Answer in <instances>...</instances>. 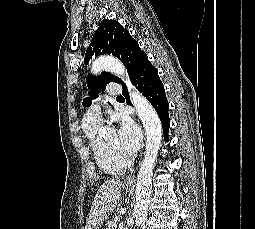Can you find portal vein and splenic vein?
Here are the masks:
<instances>
[{
  "label": "portal vein and splenic vein",
  "mask_w": 255,
  "mask_h": 229,
  "mask_svg": "<svg viewBox=\"0 0 255 229\" xmlns=\"http://www.w3.org/2000/svg\"><path fill=\"white\" fill-rule=\"evenodd\" d=\"M114 229H117V225H114Z\"/></svg>",
  "instance_id": "portal-vein-and-splenic-vein-1"
}]
</instances>
